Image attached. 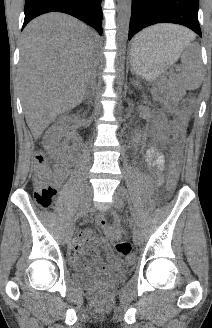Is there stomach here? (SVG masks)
Wrapping results in <instances>:
<instances>
[{
    "label": "stomach",
    "instance_id": "1",
    "mask_svg": "<svg viewBox=\"0 0 212 328\" xmlns=\"http://www.w3.org/2000/svg\"><path fill=\"white\" fill-rule=\"evenodd\" d=\"M184 46L174 41L156 40L145 48L135 49L134 40L131 48L132 69L143 79L154 81L177 60Z\"/></svg>",
    "mask_w": 212,
    "mask_h": 328
}]
</instances>
